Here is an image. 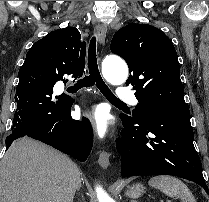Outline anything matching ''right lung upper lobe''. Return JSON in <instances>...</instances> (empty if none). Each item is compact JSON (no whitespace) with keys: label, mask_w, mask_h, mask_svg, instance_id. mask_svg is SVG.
Segmentation results:
<instances>
[{"label":"right lung upper lobe","mask_w":209,"mask_h":202,"mask_svg":"<svg viewBox=\"0 0 209 202\" xmlns=\"http://www.w3.org/2000/svg\"><path fill=\"white\" fill-rule=\"evenodd\" d=\"M77 28L66 27L50 32L30 48L19 70V79L45 76L59 81L68 74L83 75L86 43Z\"/></svg>","instance_id":"obj_1"}]
</instances>
